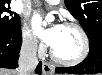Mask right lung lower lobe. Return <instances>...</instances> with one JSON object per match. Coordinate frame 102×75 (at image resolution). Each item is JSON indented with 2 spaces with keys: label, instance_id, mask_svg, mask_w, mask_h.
<instances>
[{
  "label": "right lung lower lobe",
  "instance_id": "obj_1",
  "mask_svg": "<svg viewBox=\"0 0 102 75\" xmlns=\"http://www.w3.org/2000/svg\"><path fill=\"white\" fill-rule=\"evenodd\" d=\"M21 44V28L14 32L0 31V68L14 69L18 66ZM35 72L41 74V62Z\"/></svg>",
  "mask_w": 102,
  "mask_h": 75
}]
</instances>
